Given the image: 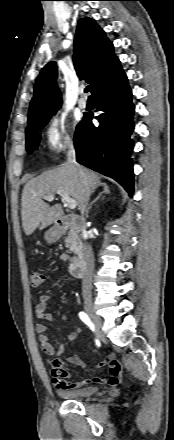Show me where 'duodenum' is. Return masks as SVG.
Segmentation results:
<instances>
[{"instance_id": "duodenum-1", "label": "duodenum", "mask_w": 174, "mask_h": 440, "mask_svg": "<svg viewBox=\"0 0 174 440\" xmlns=\"http://www.w3.org/2000/svg\"><path fill=\"white\" fill-rule=\"evenodd\" d=\"M85 224L81 217L77 215H66L57 220L56 227L54 229L57 235H62L68 230L74 232H80L84 228ZM86 265L82 259L81 251L76 250V258L71 265V273L76 278H81L85 273Z\"/></svg>"}]
</instances>
